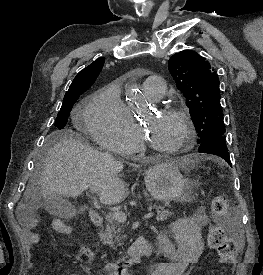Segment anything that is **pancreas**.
Returning <instances> with one entry per match:
<instances>
[{
    "label": "pancreas",
    "instance_id": "pancreas-1",
    "mask_svg": "<svg viewBox=\"0 0 263 275\" xmlns=\"http://www.w3.org/2000/svg\"><path fill=\"white\" fill-rule=\"evenodd\" d=\"M153 208L157 211V220H165L172 215V212L169 210L155 204L153 205ZM99 236L103 244H108L110 246H113L115 242L118 245H121V240L126 237L125 235H122L120 222L116 221L111 213L106 216V229L104 232L101 231Z\"/></svg>",
    "mask_w": 263,
    "mask_h": 275
}]
</instances>
